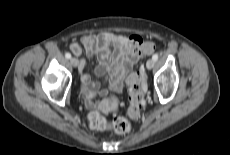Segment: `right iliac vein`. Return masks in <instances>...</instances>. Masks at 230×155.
Returning <instances> with one entry per match:
<instances>
[{"label":"right iliac vein","mask_w":230,"mask_h":155,"mask_svg":"<svg viewBox=\"0 0 230 155\" xmlns=\"http://www.w3.org/2000/svg\"><path fill=\"white\" fill-rule=\"evenodd\" d=\"M70 63L74 67L78 66V60L76 58H74V57L70 58Z\"/></svg>","instance_id":"obj_1"}]
</instances>
